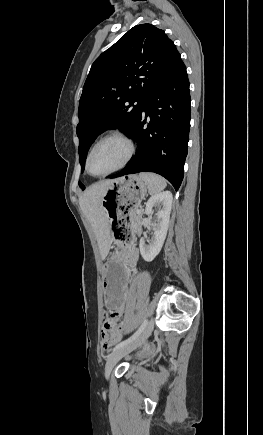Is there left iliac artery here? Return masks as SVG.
I'll list each match as a JSON object with an SVG mask.
<instances>
[{
  "instance_id": "left-iliac-artery-1",
  "label": "left iliac artery",
  "mask_w": 263,
  "mask_h": 435,
  "mask_svg": "<svg viewBox=\"0 0 263 435\" xmlns=\"http://www.w3.org/2000/svg\"><path fill=\"white\" fill-rule=\"evenodd\" d=\"M147 324H148V321L144 320V322L141 324L139 329L131 337H129L128 339H126V340L120 342L119 344H117L113 348V351H115V350H117V349H119V348H121V347H123V346H125V345H127L129 343H131L132 341H134L141 334V332L144 330V328L147 326Z\"/></svg>"
}]
</instances>
